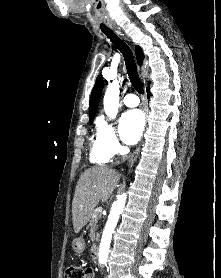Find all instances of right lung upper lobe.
I'll return each instance as SVG.
<instances>
[{
    "mask_svg": "<svg viewBox=\"0 0 221 278\" xmlns=\"http://www.w3.org/2000/svg\"><path fill=\"white\" fill-rule=\"evenodd\" d=\"M135 50H136V58H137V62L138 64L141 66L143 64L144 61V54L142 52V49L139 46H135ZM103 79L102 76H98L94 88L92 90L91 93V97H90V102H89V120L92 123L97 107H98V103H99V99L101 96V92L103 89Z\"/></svg>",
    "mask_w": 221,
    "mask_h": 278,
    "instance_id": "obj_1",
    "label": "right lung upper lobe"
}]
</instances>
